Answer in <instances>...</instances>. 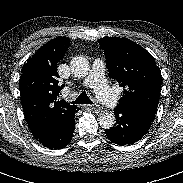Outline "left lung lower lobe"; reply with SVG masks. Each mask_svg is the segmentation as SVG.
Here are the masks:
<instances>
[{
    "instance_id": "obj_1",
    "label": "left lung lower lobe",
    "mask_w": 183,
    "mask_h": 183,
    "mask_svg": "<svg viewBox=\"0 0 183 183\" xmlns=\"http://www.w3.org/2000/svg\"><path fill=\"white\" fill-rule=\"evenodd\" d=\"M116 125L105 131L115 144L124 146L139 141L149 130L151 122L124 110H114Z\"/></svg>"
}]
</instances>
